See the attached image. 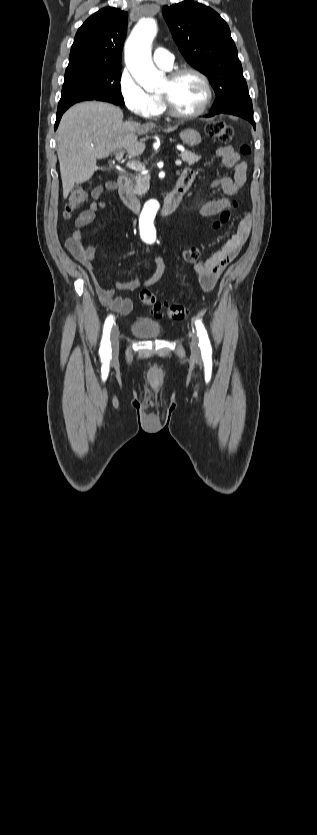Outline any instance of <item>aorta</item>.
Instances as JSON below:
<instances>
[{
  "instance_id": "obj_1",
  "label": "aorta",
  "mask_w": 317,
  "mask_h": 835,
  "mask_svg": "<svg viewBox=\"0 0 317 835\" xmlns=\"http://www.w3.org/2000/svg\"><path fill=\"white\" fill-rule=\"evenodd\" d=\"M157 21L154 17L141 19L125 43V62L133 78L146 91L158 89L164 79V74L153 64L151 46L157 34ZM159 204L156 200L148 201L140 217L141 234L155 239L153 222Z\"/></svg>"
}]
</instances>
